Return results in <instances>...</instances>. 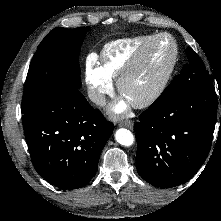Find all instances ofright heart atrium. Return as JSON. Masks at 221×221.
<instances>
[{
	"label": "right heart atrium",
	"mask_w": 221,
	"mask_h": 221,
	"mask_svg": "<svg viewBox=\"0 0 221 221\" xmlns=\"http://www.w3.org/2000/svg\"><path fill=\"white\" fill-rule=\"evenodd\" d=\"M85 81L91 101L96 105L103 106L107 96L113 91V83L103 73L92 56L88 57L85 64Z\"/></svg>",
	"instance_id": "1"
}]
</instances>
